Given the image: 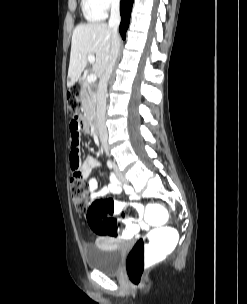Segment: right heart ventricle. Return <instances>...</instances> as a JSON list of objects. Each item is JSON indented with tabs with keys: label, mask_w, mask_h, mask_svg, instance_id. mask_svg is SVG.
Listing matches in <instances>:
<instances>
[{
	"label": "right heart ventricle",
	"mask_w": 247,
	"mask_h": 304,
	"mask_svg": "<svg viewBox=\"0 0 247 304\" xmlns=\"http://www.w3.org/2000/svg\"><path fill=\"white\" fill-rule=\"evenodd\" d=\"M82 12L90 22L100 21L106 16V13L99 8L95 0H82Z\"/></svg>",
	"instance_id": "1"
}]
</instances>
